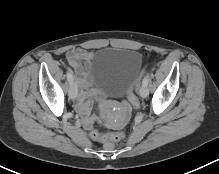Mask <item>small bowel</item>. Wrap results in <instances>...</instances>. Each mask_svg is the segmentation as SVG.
Masks as SVG:
<instances>
[{"instance_id":"small-bowel-1","label":"small bowel","mask_w":219,"mask_h":174,"mask_svg":"<svg viewBox=\"0 0 219 174\" xmlns=\"http://www.w3.org/2000/svg\"><path fill=\"white\" fill-rule=\"evenodd\" d=\"M93 55L94 53L92 51H86L79 48L69 50L66 54L70 65L75 69L78 76V83L81 90L79 93V101L77 108L84 117L83 122L86 128H91L94 123V118L89 115L91 103L90 101H87V98L90 95V77L87 67ZM121 107L122 112L125 114V116L121 121H112L110 123L111 129H123L132 120V111L130 110L128 102L122 101Z\"/></svg>"}]
</instances>
